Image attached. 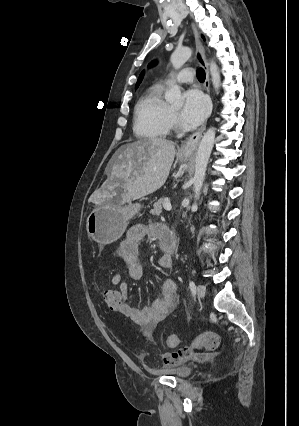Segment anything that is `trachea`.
I'll use <instances>...</instances> for the list:
<instances>
[{
	"label": "trachea",
	"instance_id": "1",
	"mask_svg": "<svg viewBox=\"0 0 299 426\" xmlns=\"http://www.w3.org/2000/svg\"><path fill=\"white\" fill-rule=\"evenodd\" d=\"M197 77H198V80L201 82L205 80V71L203 70V68L198 69Z\"/></svg>",
	"mask_w": 299,
	"mask_h": 426
}]
</instances>
